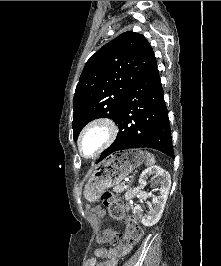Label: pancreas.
Here are the masks:
<instances>
[{
  "label": "pancreas",
  "instance_id": "pancreas-1",
  "mask_svg": "<svg viewBox=\"0 0 221 266\" xmlns=\"http://www.w3.org/2000/svg\"><path fill=\"white\" fill-rule=\"evenodd\" d=\"M125 189H126L125 184L121 183L120 185L115 186L113 191L116 193H122Z\"/></svg>",
  "mask_w": 221,
  "mask_h": 266
}]
</instances>
